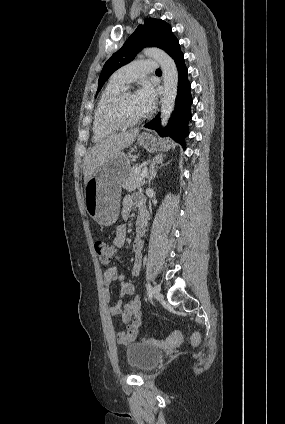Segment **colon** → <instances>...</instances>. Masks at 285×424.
<instances>
[{
  "label": "colon",
  "instance_id": "colon-1",
  "mask_svg": "<svg viewBox=\"0 0 285 424\" xmlns=\"http://www.w3.org/2000/svg\"><path fill=\"white\" fill-rule=\"evenodd\" d=\"M95 251L97 253L98 259L102 264H108L112 260L114 256L115 249L113 246L107 244L103 241H97L95 243ZM201 338L200 334L195 335V341H199ZM151 342H156L154 339H148ZM183 340V334L179 331L172 333L167 339L164 341L166 345H175L180 343Z\"/></svg>",
  "mask_w": 285,
  "mask_h": 424
}]
</instances>
